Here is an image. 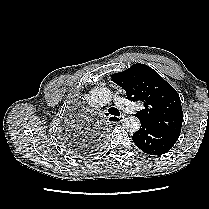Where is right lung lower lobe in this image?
Masks as SVG:
<instances>
[{"instance_id": "obj_1", "label": "right lung lower lobe", "mask_w": 209, "mask_h": 209, "mask_svg": "<svg viewBox=\"0 0 209 209\" xmlns=\"http://www.w3.org/2000/svg\"><path fill=\"white\" fill-rule=\"evenodd\" d=\"M97 137L98 138H96L93 144L80 145L79 147H75L73 151L79 155H87L89 153H92L102 143V137L100 136Z\"/></svg>"}]
</instances>
